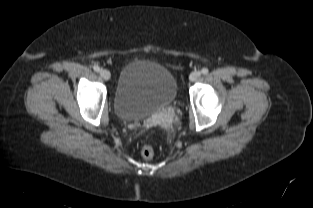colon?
Here are the masks:
<instances>
[{
  "label": "colon",
  "mask_w": 313,
  "mask_h": 208,
  "mask_svg": "<svg viewBox=\"0 0 313 208\" xmlns=\"http://www.w3.org/2000/svg\"><path fill=\"white\" fill-rule=\"evenodd\" d=\"M155 154L154 148L151 145H144L141 148V156L144 159H152Z\"/></svg>",
  "instance_id": "colon-1"
}]
</instances>
